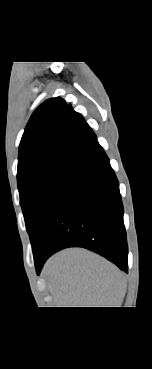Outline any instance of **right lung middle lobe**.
Instances as JSON below:
<instances>
[{"label": "right lung middle lobe", "instance_id": "dd1d6c3e", "mask_svg": "<svg viewBox=\"0 0 152 369\" xmlns=\"http://www.w3.org/2000/svg\"><path fill=\"white\" fill-rule=\"evenodd\" d=\"M76 163L63 161L27 172L18 179L20 204L32 250L39 243L53 206Z\"/></svg>", "mask_w": 152, "mask_h": 369}]
</instances>
